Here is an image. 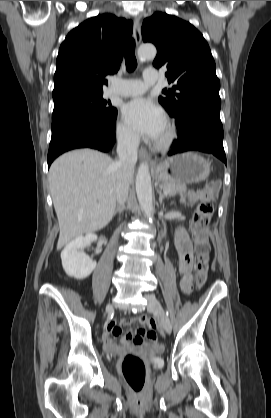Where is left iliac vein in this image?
Wrapping results in <instances>:
<instances>
[{
  "label": "left iliac vein",
  "mask_w": 271,
  "mask_h": 418,
  "mask_svg": "<svg viewBox=\"0 0 271 418\" xmlns=\"http://www.w3.org/2000/svg\"><path fill=\"white\" fill-rule=\"evenodd\" d=\"M144 297L147 300V309L149 311L155 313L158 316L159 321H160L163 329L167 333H171L172 324H171L169 318L167 317V315L165 314V312H164L160 302L156 298V296L154 294H145Z\"/></svg>",
  "instance_id": "obj_1"
}]
</instances>
